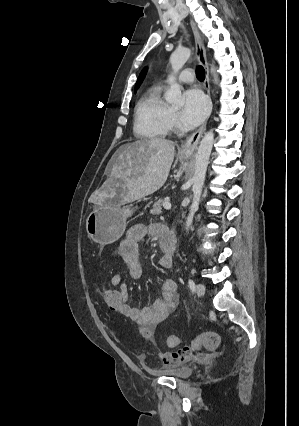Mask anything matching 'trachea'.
Instances as JSON below:
<instances>
[{
	"label": "trachea",
	"instance_id": "trachea-1",
	"mask_svg": "<svg viewBox=\"0 0 299 426\" xmlns=\"http://www.w3.org/2000/svg\"><path fill=\"white\" fill-rule=\"evenodd\" d=\"M197 78L200 81H203L205 79V70L201 65H199L197 69Z\"/></svg>",
	"mask_w": 299,
	"mask_h": 426
}]
</instances>
